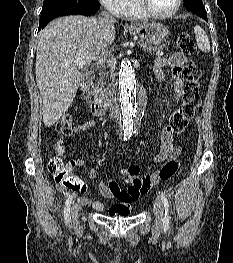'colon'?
<instances>
[{"label":"colon","instance_id":"1","mask_svg":"<svg viewBox=\"0 0 233 263\" xmlns=\"http://www.w3.org/2000/svg\"><path fill=\"white\" fill-rule=\"evenodd\" d=\"M177 45L187 55L196 53L195 43L189 33L181 32L176 38ZM182 79L185 82L183 102L181 106L175 110L171 117L169 126H167L172 134L181 133L186 128L188 122L194 117L201 105L200 96V76L201 71L194 63H187L182 70ZM73 118L70 114L63 115L56 124L58 132L67 134L71 131ZM179 168V163L175 159L169 160L161 168H159L153 177L147 179L148 183L158 180H166L173 177ZM48 169L58 183H63L64 189H79L82 195H87L89 187L82 184L78 171H73L72 176L69 172V164L64 163L61 158L52 157L48 162Z\"/></svg>","mask_w":233,"mask_h":263}]
</instances>
